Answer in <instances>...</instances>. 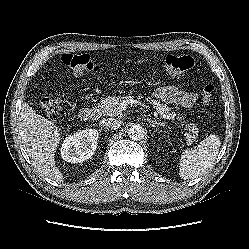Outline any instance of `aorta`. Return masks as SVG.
<instances>
[{"label":"aorta","instance_id":"aorta-1","mask_svg":"<svg viewBox=\"0 0 249 249\" xmlns=\"http://www.w3.org/2000/svg\"><path fill=\"white\" fill-rule=\"evenodd\" d=\"M144 128L139 124H133L128 130V136L132 140H141L144 138Z\"/></svg>","mask_w":249,"mask_h":249}]
</instances>
